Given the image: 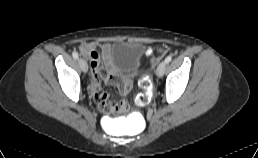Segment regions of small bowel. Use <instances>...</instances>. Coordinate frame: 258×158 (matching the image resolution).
Wrapping results in <instances>:
<instances>
[{"mask_svg": "<svg viewBox=\"0 0 258 158\" xmlns=\"http://www.w3.org/2000/svg\"><path fill=\"white\" fill-rule=\"evenodd\" d=\"M79 50L90 63L92 70L90 92L99 108L103 109L109 99V94L101 90L102 81L108 86H116L121 95H126L129 92L131 81L116 70L109 57L111 44L83 42Z\"/></svg>", "mask_w": 258, "mask_h": 158, "instance_id": "obj_1", "label": "small bowel"}]
</instances>
